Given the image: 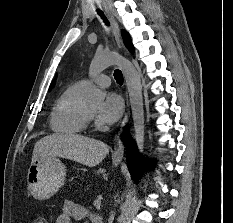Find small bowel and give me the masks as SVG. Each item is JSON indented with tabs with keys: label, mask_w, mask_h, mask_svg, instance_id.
Wrapping results in <instances>:
<instances>
[{
	"label": "small bowel",
	"mask_w": 233,
	"mask_h": 223,
	"mask_svg": "<svg viewBox=\"0 0 233 223\" xmlns=\"http://www.w3.org/2000/svg\"><path fill=\"white\" fill-rule=\"evenodd\" d=\"M88 219L90 223H101L100 219L84 206L65 200L62 204V211L56 219V223H72L73 220Z\"/></svg>",
	"instance_id": "1"
}]
</instances>
